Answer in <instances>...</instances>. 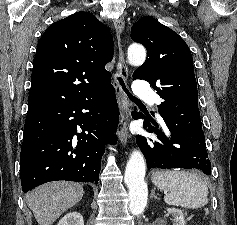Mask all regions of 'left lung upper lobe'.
Returning <instances> with one entry per match:
<instances>
[{
  "instance_id": "left-lung-upper-lobe-1",
  "label": "left lung upper lobe",
  "mask_w": 237,
  "mask_h": 225,
  "mask_svg": "<svg viewBox=\"0 0 237 225\" xmlns=\"http://www.w3.org/2000/svg\"><path fill=\"white\" fill-rule=\"evenodd\" d=\"M131 32V38L147 49L146 61L135 70L133 79L148 81L164 100L158 106L159 113L197 105L193 59L185 41L149 16L137 21Z\"/></svg>"
}]
</instances>
